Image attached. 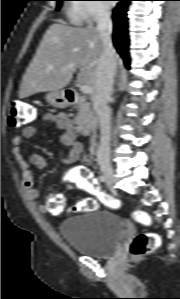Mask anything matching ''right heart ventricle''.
I'll use <instances>...</instances> for the list:
<instances>
[{
    "instance_id": "right-heart-ventricle-1",
    "label": "right heart ventricle",
    "mask_w": 180,
    "mask_h": 299,
    "mask_svg": "<svg viewBox=\"0 0 180 299\" xmlns=\"http://www.w3.org/2000/svg\"><path fill=\"white\" fill-rule=\"evenodd\" d=\"M69 17L76 24H80L82 21V18L80 14L76 11L75 7L69 11Z\"/></svg>"
}]
</instances>
